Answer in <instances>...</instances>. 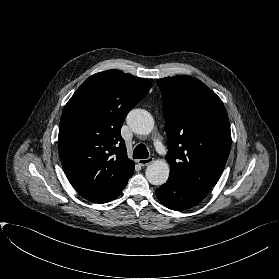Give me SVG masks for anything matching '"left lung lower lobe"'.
I'll return each instance as SVG.
<instances>
[{
    "label": "left lung lower lobe",
    "instance_id": "obj_1",
    "mask_svg": "<svg viewBox=\"0 0 279 279\" xmlns=\"http://www.w3.org/2000/svg\"><path fill=\"white\" fill-rule=\"evenodd\" d=\"M207 192L169 176L165 184L156 190L159 201L169 209L182 211L197 205Z\"/></svg>",
    "mask_w": 279,
    "mask_h": 279
}]
</instances>
